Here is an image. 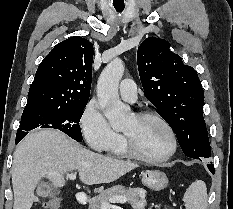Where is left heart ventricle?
I'll list each match as a JSON object with an SVG mask.
<instances>
[{"label": "left heart ventricle", "instance_id": "left-heart-ventricle-1", "mask_svg": "<svg viewBox=\"0 0 233 209\" xmlns=\"http://www.w3.org/2000/svg\"><path fill=\"white\" fill-rule=\"evenodd\" d=\"M123 133L131 138L137 150L145 156L159 157L169 150V135L164 126L155 119H137L133 116Z\"/></svg>", "mask_w": 233, "mask_h": 209}]
</instances>
